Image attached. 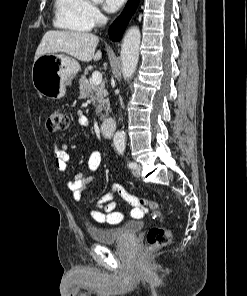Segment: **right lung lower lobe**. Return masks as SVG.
I'll use <instances>...</instances> for the list:
<instances>
[{
  "mask_svg": "<svg viewBox=\"0 0 247 296\" xmlns=\"http://www.w3.org/2000/svg\"><path fill=\"white\" fill-rule=\"evenodd\" d=\"M139 0H129L122 14L114 21L109 28V35L113 41H119L125 29V24L122 25L124 19H128L135 12Z\"/></svg>",
  "mask_w": 247,
  "mask_h": 296,
  "instance_id": "right-lung-lower-lobe-1",
  "label": "right lung lower lobe"
}]
</instances>
